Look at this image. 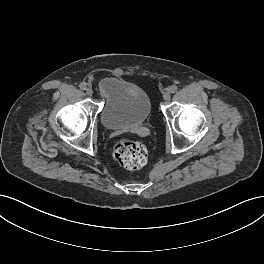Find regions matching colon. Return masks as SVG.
<instances>
[{"instance_id": "colon-1", "label": "colon", "mask_w": 264, "mask_h": 264, "mask_svg": "<svg viewBox=\"0 0 264 264\" xmlns=\"http://www.w3.org/2000/svg\"><path fill=\"white\" fill-rule=\"evenodd\" d=\"M113 156L122 168L134 171L145 166L148 151L141 142L123 139L115 145Z\"/></svg>"}]
</instances>
